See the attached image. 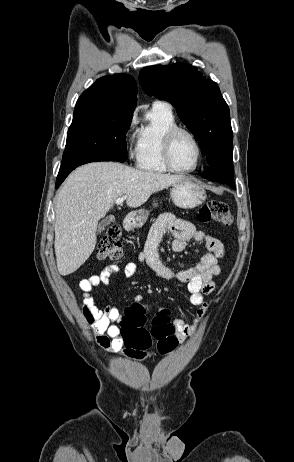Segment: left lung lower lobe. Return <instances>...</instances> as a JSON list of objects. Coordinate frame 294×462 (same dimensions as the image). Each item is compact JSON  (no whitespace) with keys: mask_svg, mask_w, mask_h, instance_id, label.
Returning <instances> with one entry per match:
<instances>
[{"mask_svg":"<svg viewBox=\"0 0 294 462\" xmlns=\"http://www.w3.org/2000/svg\"><path fill=\"white\" fill-rule=\"evenodd\" d=\"M204 178L220 183H224L236 189L234 183V167L233 165H216L209 166Z\"/></svg>","mask_w":294,"mask_h":462,"instance_id":"obj_1","label":"left lung lower lobe"}]
</instances>
